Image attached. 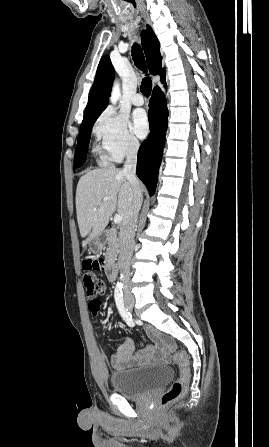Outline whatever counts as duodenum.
<instances>
[{
    "label": "duodenum",
    "instance_id": "1",
    "mask_svg": "<svg viewBox=\"0 0 269 447\" xmlns=\"http://www.w3.org/2000/svg\"><path fill=\"white\" fill-rule=\"evenodd\" d=\"M106 274L109 281L113 282L117 278L116 266L114 263H109L106 267Z\"/></svg>",
    "mask_w": 269,
    "mask_h": 447
}]
</instances>
